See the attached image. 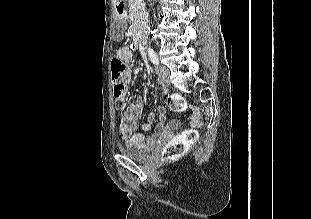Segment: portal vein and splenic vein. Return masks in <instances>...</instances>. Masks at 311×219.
I'll list each match as a JSON object with an SVG mask.
<instances>
[{
  "label": "portal vein and splenic vein",
  "mask_w": 311,
  "mask_h": 219,
  "mask_svg": "<svg viewBox=\"0 0 311 219\" xmlns=\"http://www.w3.org/2000/svg\"><path fill=\"white\" fill-rule=\"evenodd\" d=\"M136 2L140 3V2H142V0H136Z\"/></svg>",
  "instance_id": "obj_1"
}]
</instances>
